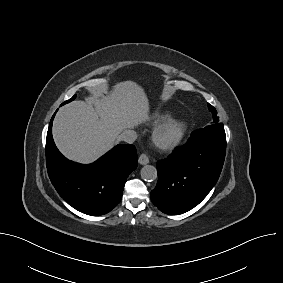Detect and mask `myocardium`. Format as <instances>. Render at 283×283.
<instances>
[{
	"instance_id": "obj_1",
	"label": "myocardium",
	"mask_w": 283,
	"mask_h": 283,
	"mask_svg": "<svg viewBox=\"0 0 283 283\" xmlns=\"http://www.w3.org/2000/svg\"><path fill=\"white\" fill-rule=\"evenodd\" d=\"M187 125L183 120L170 118L159 124L152 133L155 147L161 151H172L183 141Z\"/></svg>"
}]
</instances>
